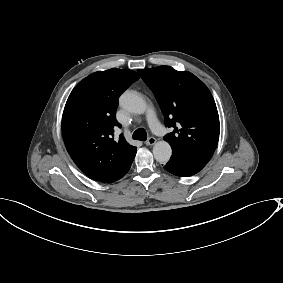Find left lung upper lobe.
I'll list each match as a JSON object with an SVG mask.
<instances>
[{
    "mask_svg": "<svg viewBox=\"0 0 283 283\" xmlns=\"http://www.w3.org/2000/svg\"><path fill=\"white\" fill-rule=\"evenodd\" d=\"M138 72L154 93L166 126L174 128L164 137L172 153L206 164L220 131L216 104L207 86L192 73L170 66Z\"/></svg>",
    "mask_w": 283,
    "mask_h": 283,
    "instance_id": "obj_1",
    "label": "left lung upper lobe"
}]
</instances>
